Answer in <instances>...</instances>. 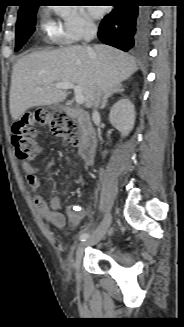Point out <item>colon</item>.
Returning <instances> with one entry per match:
<instances>
[{"instance_id": "obj_1", "label": "colon", "mask_w": 184, "mask_h": 327, "mask_svg": "<svg viewBox=\"0 0 184 327\" xmlns=\"http://www.w3.org/2000/svg\"><path fill=\"white\" fill-rule=\"evenodd\" d=\"M45 127L65 144L78 146L82 136L78 123L64 110L38 109L26 114L12 128V144L16 156L22 161L28 160L37 150L36 127Z\"/></svg>"}]
</instances>
